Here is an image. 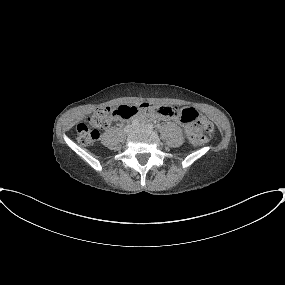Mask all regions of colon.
<instances>
[{
  "label": "colon",
  "instance_id": "obj_1",
  "mask_svg": "<svg viewBox=\"0 0 285 285\" xmlns=\"http://www.w3.org/2000/svg\"><path fill=\"white\" fill-rule=\"evenodd\" d=\"M140 113H158L181 121L188 127L187 136L193 144H201L203 142L201 129L209 132L213 130V125L205 120L195 109L141 103L121 105L117 109L109 107L97 108L85 121L77 125L78 142L82 145L91 144L99 138L101 131L107 128L114 118L129 119Z\"/></svg>",
  "mask_w": 285,
  "mask_h": 285
}]
</instances>
